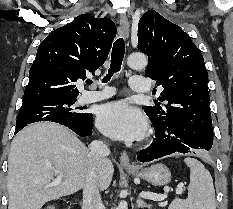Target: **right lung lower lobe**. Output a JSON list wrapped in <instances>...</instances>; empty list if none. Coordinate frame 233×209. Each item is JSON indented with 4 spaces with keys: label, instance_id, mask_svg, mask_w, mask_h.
Wrapping results in <instances>:
<instances>
[{
    "label": "right lung lower lobe",
    "instance_id": "right-lung-lower-lobe-1",
    "mask_svg": "<svg viewBox=\"0 0 233 209\" xmlns=\"http://www.w3.org/2000/svg\"><path fill=\"white\" fill-rule=\"evenodd\" d=\"M92 120H93V114L88 113V116L82 122L75 124H63V125L70 128L79 136L86 137L92 134ZM23 127L24 126L22 127L16 126L15 134H17Z\"/></svg>",
    "mask_w": 233,
    "mask_h": 209
}]
</instances>
